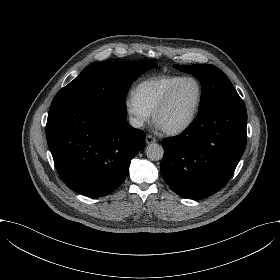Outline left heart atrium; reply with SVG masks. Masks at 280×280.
Instances as JSON below:
<instances>
[{"mask_svg": "<svg viewBox=\"0 0 280 280\" xmlns=\"http://www.w3.org/2000/svg\"><path fill=\"white\" fill-rule=\"evenodd\" d=\"M157 127H158L159 129H163V126H162L160 123L157 124Z\"/></svg>", "mask_w": 280, "mask_h": 280, "instance_id": "left-heart-atrium-1", "label": "left heart atrium"}]
</instances>
